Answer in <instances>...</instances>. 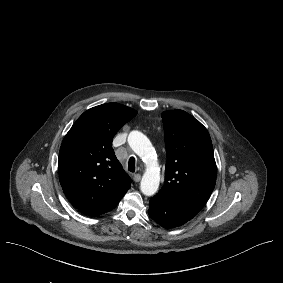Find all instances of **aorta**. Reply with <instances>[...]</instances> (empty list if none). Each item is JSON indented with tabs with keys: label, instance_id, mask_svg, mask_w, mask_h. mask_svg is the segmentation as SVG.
<instances>
[{
	"label": "aorta",
	"instance_id": "obj_1",
	"mask_svg": "<svg viewBox=\"0 0 283 283\" xmlns=\"http://www.w3.org/2000/svg\"><path fill=\"white\" fill-rule=\"evenodd\" d=\"M128 143L146 164V171L140 183L141 192L146 196H152L157 192L160 183V169L156 161L154 148L150 140L139 131L129 133Z\"/></svg>",
	"mask_w": 283,
	"mask_h": 283
}]
</instances>
